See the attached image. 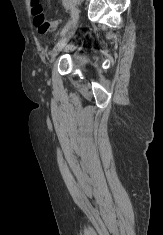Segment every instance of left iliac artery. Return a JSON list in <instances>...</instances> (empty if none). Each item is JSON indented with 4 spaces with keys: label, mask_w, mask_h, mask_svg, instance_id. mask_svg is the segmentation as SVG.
Returning a JSON list of instances; mask_svg holds the SVG:
<instances>
[{
    "label": "left iliac artery",
    "mask_w": 163,
    "mask_h": 235,
    "mask_svg": "<svg viewBox=\"0 0 163 235\" xmlns=\"http://www.w3.org/2000/svg\"><path fill=\"white\" fill-rule=\"evenodd\" d=\"M78 17V11L75 8H72L71 10V20L67 22V24L64 26V28L61 31V36H64L68 29L75 23Z\"/></svg>",
    "instance_id": "left-iliac-artery-1"
}]
</instances>
